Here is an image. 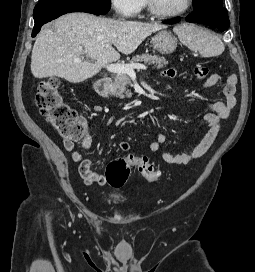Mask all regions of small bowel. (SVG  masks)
<instances>
[{"label": "small bowel", "instance_id": "small-bowel-1", "mask_svg": "<svg viewBox=\"0 0 255 272\" xmlns=\"http://www.w3.org/2000/svg\"><path fill=\"white\" fill-rule=\"evenodd\" d=\"M177 75V71L173 69H169L163 72L164 77L174 78L177 77ZM220 81V74L213 73L206 79L204 87H213L217 85ZM237 82L238 77L236 74H230L227 77L226 83L223 88V95L225 100L223 102L216 101L210 104V108L212 111L205 114L204 116V120L208 124V130L203 136L200 143L193 149V151L191 153H182L176 155L163 152L162 158L166 163L178 165L187 164L194 159L200 158L208 151L220 131L221 121L227 119L231 115V112L237 103L235 95ZM115 117L116 116L114 114L110 115L106 120V124L108 125L112 123L115 120ZM165 141V134L158 133L155 140L150 143V151H159ZM92 146L93 136L91 132L88 131L85 138L83 139L82 147L85 150H89L92 148ZM119 147L122 151L127 152L130 150L131 146L128 141H121ZM65 148L68 152L71 153L73 161L77 164V170L86 185L97 184L103 186L107 183L106 176L93 170L90 160L85 159L79 151L74 149L73 144H65Z\"/></svg>", "mask_w": 255, "mask_h": 272}]
</instances>
